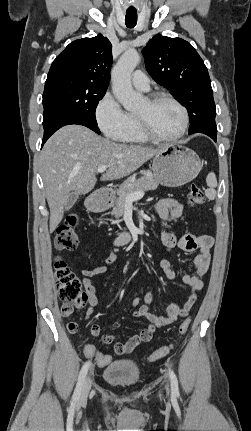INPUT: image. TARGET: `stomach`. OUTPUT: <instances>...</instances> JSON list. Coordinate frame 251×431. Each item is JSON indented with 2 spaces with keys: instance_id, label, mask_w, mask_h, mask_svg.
<instances>
[{
  "instance_id": "obj_1",
  "label": "stomach",
  "mask_w": 251,
  "mask_h": 431,
  "mask_svg": "<svg viewBox=\"0 0 251 431\" xmlns=\"http://www.w3.org/2000/svg\"><path fill=\"white\" fill-rule=\"evenodd\" d=\"M201 161L198 155L181 145H167L157 154L152 163L153 176L163 186L178 187L192 181L201 170ZM111 198L104 192L90 196L86 207L93 212L107 210Z\"/></svg>"
}]
</instances>
